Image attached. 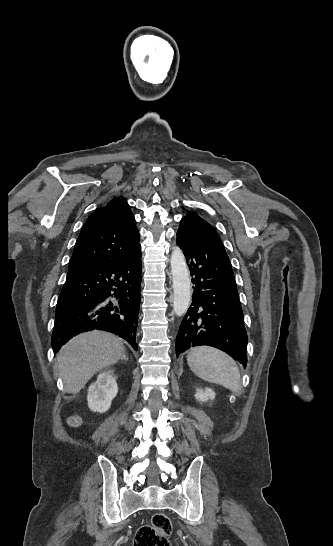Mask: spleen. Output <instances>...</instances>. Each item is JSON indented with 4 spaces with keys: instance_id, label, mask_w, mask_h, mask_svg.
<instances>
[{
    "instance_id": "3e777b00",
    "label": "spleen",
    "mask_w": 333,
    "mask_h": 546,
    "mask_svg": "<svg viewBox=\"0 0 333 546\" xmlns=\"http://www.w3.org/2000/svg\"><path fill=\"white\" fill-rule=\"evenodd\" d=\"M192 372L202 380L237 392L241 386L239 368L226 353L211 347H195L187 354Z\"/></svg>"
}]
</instances>
